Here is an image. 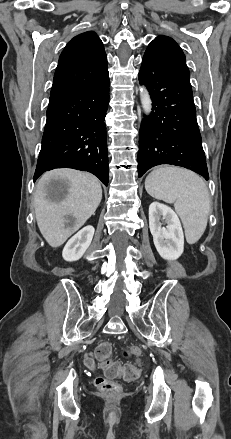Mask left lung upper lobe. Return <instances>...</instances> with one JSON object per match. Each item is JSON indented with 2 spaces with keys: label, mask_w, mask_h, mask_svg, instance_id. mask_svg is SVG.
I'll return each mask as SVG.
<instances>
[{
  "label": "left lung upper lobe",
  "mask_w": 231,
  "mask_h": 439,
  "mask_svg": "<svg viewBox=\"0 0 231 439\" xmlns=\"http://www.w3.org/2000/svg\"><path fill=\"white\" fill-rule=\"evenodd\" d=\"M148 48L157 49L161 54L165 55L180 70L190 77V72L185 62L184 53L172 38L160 35L149 44Z\"/></svg>",
  "instance_id": "left-lung-upper-lobe-1"
}]
</instances>
